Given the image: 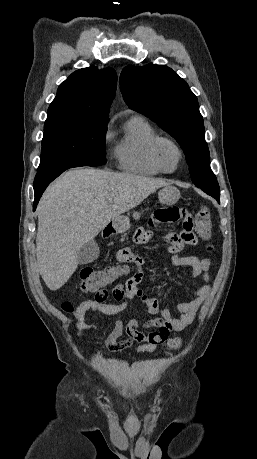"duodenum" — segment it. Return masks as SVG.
Instances as JSON below:
<instances>
[{
	"label": "duodenum",
	"mask_w": 257,
	"mask_h": 459,
	"mask_svg": "<svg viewBox=\"0 0 257 459\" xmlns=\"http://www.w3.org/2000/svg\"><path fill=\"white\" fill-rule=\"evenodd\" d=\"M113 232H114L113 225H109L103 230V236L109 237L110 235L113 234Z\"/></svg>",
	"instance_id": "410a0bca"
}]
</instances>
